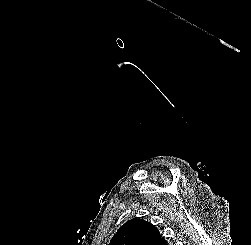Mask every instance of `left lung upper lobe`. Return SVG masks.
Wrapping results in <instances>:
<instances>
[{
  "mask_svg": "<svg viewBox=\"0 0 251 245\" xmlns=\"http://www.w3.org/2000/svg\"><path fill=\"white\" fill-rule=\"evenodd\" d=\"M109 245H168L157 227L140 219H132L122 225Z\"/></svg>",
  "mask_w": 251,
  "mask_h": 245,
  "instance_id": "obj_1",
  "label": "left lung upper lobe"
}]
</instances>
